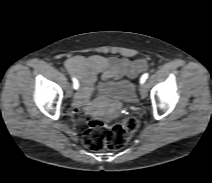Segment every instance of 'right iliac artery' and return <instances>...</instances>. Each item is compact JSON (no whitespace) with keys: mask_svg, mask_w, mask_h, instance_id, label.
Returning <instances> with one entry per match:
<instances>
[{"mask_svg":"<svg viewBox=\"0 0 212 183\" xmlns=\"http://www.w3.org/2000/svg\"><path fill=\"white\" fill-rule=\"evenodd\" d=\"M73 87L74 89H78L79 88V82L76 78H73Z\"/></svg>","mask_w":212,"mask_h":183,"instance_id":"obj_1","label":"right iliac artery"}]
</instances>
